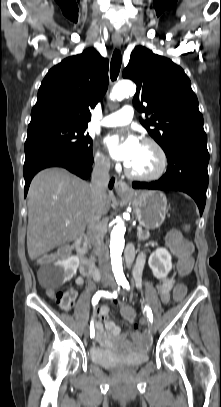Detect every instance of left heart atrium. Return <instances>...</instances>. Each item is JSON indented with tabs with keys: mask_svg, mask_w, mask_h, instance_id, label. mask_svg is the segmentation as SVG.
Instances as JSON below:
<instances>
[{
	"mask_svg": "<svg viewBox=\"0 0 221 407\" xmlns=\"http://www.w3.org/2000/svg\"><path fill=\"white\" fill-rule=\"evenodd\" d=\"M105 145L113 158L129 163L136 155L140 142L134 135H128L124 140L113 135L105 139Z\"/></svg>",
	"mask_w": 221,
	"mask_h": 407,
	"instance_id": "1",
	"label": "left heart atrium"
}]
</instances>
